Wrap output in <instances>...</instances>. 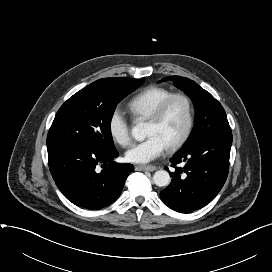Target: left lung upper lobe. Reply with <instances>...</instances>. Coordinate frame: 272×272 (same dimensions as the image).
<instances>
[{"label": "left lung upper lobe", "mask_w": 272, "mask_h": 272, "mask_svg": "<svg viewBox=\"0 0 272 272\" xmlns=\"http://www.w3.org/2000/svg\"><path fill=\"white\" fill-rule=\"evenodd\" d=\"M167 80L173 81L176 87L191 98L196 111L193 130L182 149L208 137L231 134L225 110L209 92L188 78L169 76L162 79V81Z\"/></svg>", "instance_id": "obj_1"}]
</instances>
